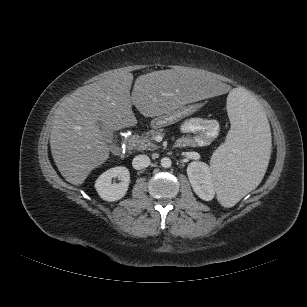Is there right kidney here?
Listing matches in <instances>:
<instances>
[{
    "label": "right kidney",
    "instance_id": "obj_1",
    "mask_svg": "<svg viewBox=\"0 0 307 307\" xmlns=\"http://www.w3.org/2000/svg\"><path fill=\"white\" fill-rule=\"evenodd\" d=\"M118 177L120 183L112 184V179ZM130 183V173L126 167L118 166L102 173L95 181L98 195L105 201L113 202L123 198Z\"/></svg>",
    "mask_w": 307,
    "mask_h": 307
}]
</instances>
